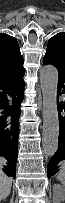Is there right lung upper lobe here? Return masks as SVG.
Returning <instances> with one entry per match:
<instances>
[{"label": "right lung upper lobe", "mask_w": 65, "mask_h": 203, "mask_svg": "<svg viewBox=\"0 0 65 203\" xmlns=\"http://www.w3.org/2000/svg\"><path fill=\"white\" fill-rule=\"evenodd\" d=\"M23 62L17 40L6 33H0V78L23 73Z\"/></svg>", "instance_id": "1"}]
</instances>
